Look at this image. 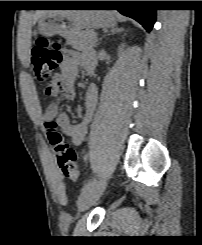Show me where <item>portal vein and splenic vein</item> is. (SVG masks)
<instances>
[{
    "label": "portal vein and splenic vein",
    "mask_w": 202,
    "mask_h": 245,
    "mask_svg": "<svg viewBox=\"0 0 202 245\" xmlns=\"http://www.w3.org/2000/svg\"><path fill=\"white\" fill-rule=\"evenodd\" d=\"M98 40H97V38H95V42H97Z\"/></svg>",
    "instance_id": "18ae733b"
}]
</instances>
